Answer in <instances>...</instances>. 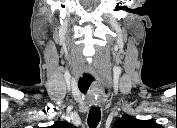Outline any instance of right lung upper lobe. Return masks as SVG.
<instances>
[{"instance_id":"obj_1","label":"right lung upper lobe","mask_w":177,"mask_h":128,"mask_svg":"<svg viewBox=\"0 0 177 128\" xmlns=\"http://www.w3.org/2000/svg\"><path fill=\"white\" fill-rule=\"evenodd\" d=\"M53 127H55V128H66V127H72V125L63 121V122H60V123H57V124L53 125Z\"/></svg>"}]
</instances>
